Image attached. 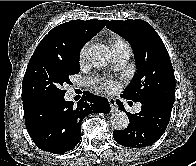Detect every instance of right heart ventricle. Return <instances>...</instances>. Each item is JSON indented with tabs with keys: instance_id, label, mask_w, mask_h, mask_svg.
Instances as JSON below:
<instances>
[{
	"instance_id": "e07e8e85",
	"label": "right heart ventricle",
	"mask_w": 196,
	"mask_h": 166,
	"mask_svg": "<svg viewBox=\"0 0 196 166\" xmlns=\"http://www.w3.org/2000/svg\"><path fill=\"white\" fill-rule=\"evenodd\" d=\"M123 41H121V40H116L114 43H113V45H115V44H118V43H122ZM112 45V46H113Z\"/></svg>"
}]
</instances>
